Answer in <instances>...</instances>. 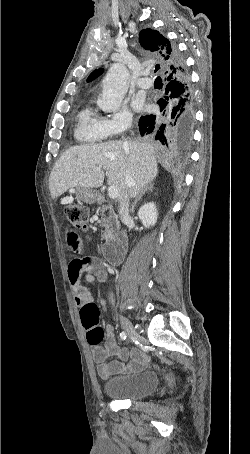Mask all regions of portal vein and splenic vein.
Returning <instances> with one entry per match:
<instances>
[{
	"instance_id": "1",
	"label": "portal vein and splenic vein",
	"mask_w": 250,
	"mask_h": 454,
	"mask_svg": "<svg viewBox=\"0 0 250 454\" xmlns=\"http://www.w3.org/2000/svg\"><path fill=\"white\" fill-rule=\"evenodd\" d=\"M108 196L110 199H116L118 197V189L115 186H110L108 188Z\"/></svg>"
}]
</instances>
